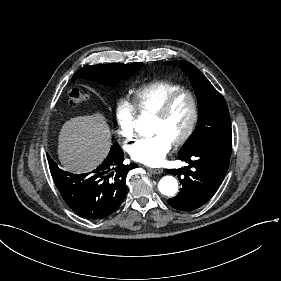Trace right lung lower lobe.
<instances>
[{"mask_svg": "<svg viewBox=\"0 0 281 281\" xmlns=\"http://www.w3.org/2000/svg\"><path fill=\"white\" fill-rule=\"evenodd\" d=\"M54 182L67 205L87 219L115 212L126 195V176L137 164H123V151L114 144L107 158L91 173L75 175L55 166L48 156Z\"/></svg>", "mask_w": 281, "mask_h": 281, "instance_id": "obj_1", "label": "right lung lower lobe"}]
</instances>
